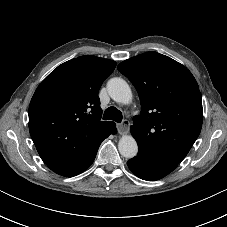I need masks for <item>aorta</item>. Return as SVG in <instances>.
Here are the masks:
<instances>
[{"instance_id":"762f6f07","label":"aorta","mask_w":227,"mask_h":227,"mask_svg":"<svg viewBox=\"0 0 227 227\" xmlns=\"http://www.w3.org/2000/svg\"><path fill=\"white\" fill-rule=\"evenodd\" d=\"M110 97L118 103L129 104L132 101V92L128 83L122 78H112L107 83ZM118 150L125 158H133L138 152V146L131 135H124L118 142Z\"/></svg>"}]
</instances>
